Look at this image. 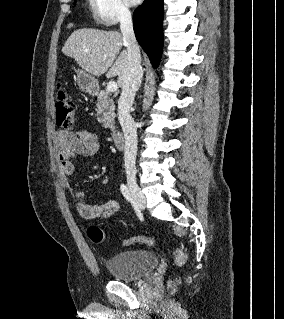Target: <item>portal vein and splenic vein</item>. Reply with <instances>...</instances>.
I'll list each match as a JSON object with an SVG mask.
<instances>
[{"mask_svg": "<svg viewBox=\"0 0 284 319\" xmlns=\"http://www.w3.org/2000/svg\"><path fill=\"white\" fill-rule=\"evenodd\" d=\"M118 89V86H117V83L114 82V81H110L108 84H107V91L108 92H115L117 91Z\"/></svg>", "mask_w": 284, "mask_h": 319, "instance_id": "portal-vein-and-splenic-vein-1", "label": "portal vein and splenic vein"}]
</instances>
